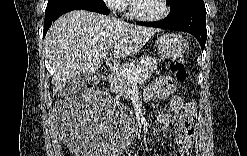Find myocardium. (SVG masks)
Instances as JSON below:
<instances>
[{
    "mask_svg": "<svg viewBox=\"0 0 247 156\" xmlns=\"http://www.w3.org/2000/svg\"><path fill=\"white\" fill-rule=\"evenodd\" d=\"M161 2V7L162 10L154 15H140L137 13L134 2L135 1H130L129 2V14L132 18L138 21L142 22H154V21H159L161 19H164L168 14H169V6L168 2L166 0H159Z\"/></svg>",
    "mask_w": 247,
    "mask_h": 156,
    "instance_id": "1",
    "label": "myocardium"
}]
</instances>
